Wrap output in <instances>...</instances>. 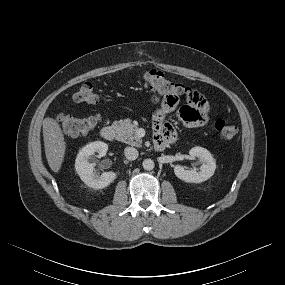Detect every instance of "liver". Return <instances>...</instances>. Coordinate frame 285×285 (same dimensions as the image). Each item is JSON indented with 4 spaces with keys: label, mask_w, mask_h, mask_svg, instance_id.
Instances as JSON below:
<instances>
[{
    "label": "liver",
    "mask_w": 285,
    "mask_h": 285,
    "mask_svg": "<svg viewBox=\"0 0 285 285\" xmlns=\"http://www.w3.org/2000/svg\"><path fill=\"white\" fill-rule=\"evenodd\" d=\"M45 155L49 167L58 173L64 160L66 142L59 123L50 117L43 120Z\"/></svg>",
    "instance_id": "liver-1"
}]
</instances>
